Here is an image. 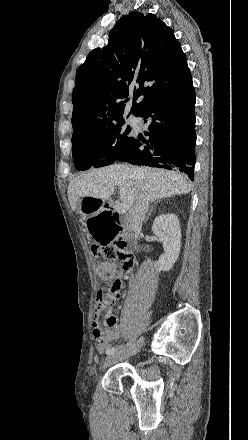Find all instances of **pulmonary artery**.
I'll use <instances>...</instances> for the list:
<instances>
[{
  "label": "pulmonary artery",
  "instance_id": "pulmonary-artery-1",
  "mask_svg": "<svg viewBox=\"0 0 248 440\" xmlns=\"http://www.w3.org/2000/svg\"><path fill=\"white\" fill-rule=\"evenodd\" d=\"M129 120H130V121H134V117H133V116H130Z\"/></svg>",
  "mask_w": 248,
  "mask_h": 440
}]
</instances>
